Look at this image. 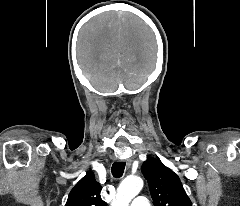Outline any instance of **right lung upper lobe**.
<instances>
[{"instance_id": "1", "label": "right lung upper lobe", "mask_w": 240, "mask_h": 206, "mask_svg": "<svg viewBox=\"0 0 240 206\" xmlns=\"http://www.w3.org/2000/svg\"><path fill=\"white\" fill-rule=\"evenodd\" d=\"M101 185L88 172L71 190L65 206H107L100 197Z\"/></svg>"}]
</instances>
